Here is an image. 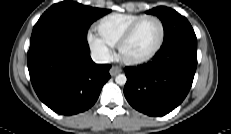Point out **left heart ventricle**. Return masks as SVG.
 I'll list each match as a JSON object with an SVG mask.
<instances>
[{"mask_svg":"<svg viewBox=\"0 0 231 134\" xmlns=\"http://www.w3.org/2000/svg\"><path fill=\"white\" fill-rule=\"evenodd\" d=\"M160 38V26L154 20L144 21L123 49V56L138 59L150 54Z\"/></svg>","mask_w":231,"mask_h":134,"instance_id":"obj_1","label":"left heart ventricle"}]
</instances>
